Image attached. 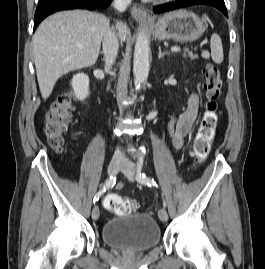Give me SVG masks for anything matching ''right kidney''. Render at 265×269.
<instances>
[{
    "instance_id": "right-kidney-1",
    "label": "right kidney",
    "mask_w": 265,
    "mask_h": 269,
    "mask_svg": "<svg viewBox=\"0 0 265 269\" xmlns=\"http://www.w3.org/2000/svg\"><path fill=\"white\" fill-rule=\"evenodd\" d=\"M71 85L75 96L79 100H84L89 94V77L84 73H78L72 78Z\"/></svg>"
}]
</instances>
